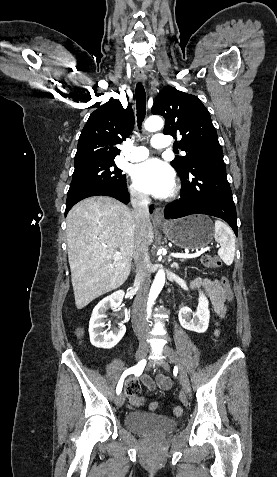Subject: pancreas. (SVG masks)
<instances>
[{"instance_id": "1", "label": "pancreas", "mask_w": 277, "mask_h": 477, "mask_svg": "<svg viewBox=\"0 0 277 477\" xmlns=\"http://www.w3.org/2000/svg\"><path fill=\"white\" fill-rule=\"evenodd\" d=\"M185 259H186V258H181L180 260H181V261H184Z\"/></svg>"}]
</instances>
